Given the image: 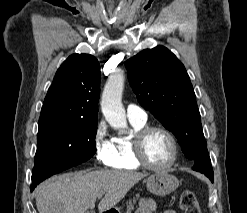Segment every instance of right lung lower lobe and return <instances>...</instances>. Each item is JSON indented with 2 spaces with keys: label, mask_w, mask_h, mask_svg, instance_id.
Returning a JSON list of instances; mask_svg holds the SVG:
<instances>
[{
  "label": "right lung lower lobe",
  "mask_w": 247,
  "mask_h": 213,
  "mask_svg": "<svg viewBox=\"0 0 247 213\" xmlns=\"http://www.w3.org/2000/svg\"><path fill=\"white\" fill-rule=\"evenodd\" d=\"M37 184H38V183H32V185L30 186L31 191L34 190V188L37 186Z\"/></svg>",
  "instance_id": "1"
}]
</instances>
